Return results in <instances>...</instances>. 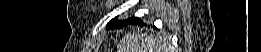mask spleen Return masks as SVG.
<instances>
[{
	"mask_svg": "<svg viewBox=\"0 0 261 52\" xmlns=\"http://www.w3.org/2000/svg\"><path fill=\"white\" fill-rule=\"evenodd\" d=\"M164 47H165V45H158L157 44V46L154 48V49H144V51H141V52H153V50H154V52H164L163 50H164ZM149 50V51H148Z\"/></svg>",
	"mask_w": 261,
	"mask_h": 52,
	"instance_id": "1",
	"label": "spleen"
}]
</instances>
